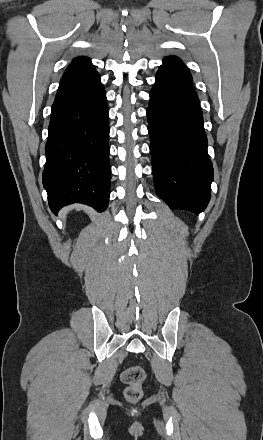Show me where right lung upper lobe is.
<instances>
[{"mask_svg": "<svg viewBox=\"0 0 263 440\" xmlns=\"http://www.w3.org/2000/svg\"><path fill=\"white\" fill-rule=\"evenodd\" d=\"M95 70L94 65L91 63L90 59L87 57L77 58L69 67L66 69L64 75L61 78L60 84L70 81L78 76Z\"/></svg>", "mask_w": 263, "mask_h": 440, "instance_id": "obj_1", "label": "right lung upper lobe"}]
</instances>
